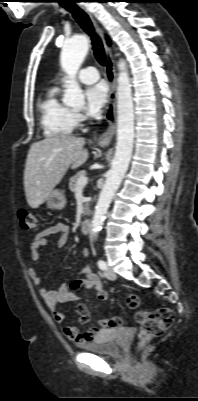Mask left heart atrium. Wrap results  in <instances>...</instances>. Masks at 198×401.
Wrapping results in <instances>:
<instances>
[{"label":"left heart atrium","instance_id":"left-heart-atrium-1","mask_svg":"<svg viewBox=\"0 0 198 401\" xmlns=\"http://www.w3.org/2000/svg\"><path fill=\"white\" fill-rule=\"evenodd\" d=\"M108 98V88L104 82L89 86L86 90V112L90 116L101 113Z\"/></svg>","mask_w":198,"mask_h":401}]
</instances>
